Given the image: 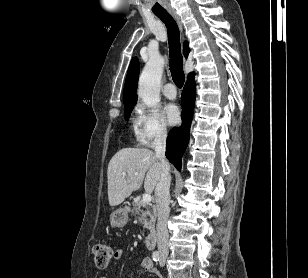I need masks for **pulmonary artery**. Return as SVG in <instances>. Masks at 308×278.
<instances>
[{
	"label": "pulmonary artery",
	"mask_w": 308,
	"mask_h": 278,
	"mask_svg": "<svg viewBox=\"0 0 308 278\" xmlns=\"http://www.w3.org/2000/svg\"><path fill=\"white\" fill-rule=\"evenodd\" d=\"M163 94L168 99H175L176 97V88L172 83H167L163 87Z\"/></svg>",
	"instance_id": "pulmonary-artery-1"
}]
</instances>
